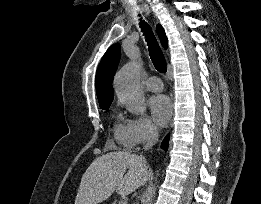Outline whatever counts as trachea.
Segmentation results:
<instances>
[{"label": "trachea", "mask_w": 261, "mask_h": 204, "mask_svg": "<svg viewBox=\"0 0 261 204\" xmlns=\"http://www.w3.org/2000/svg\"><path fill=\"white\" fill-rule=\"evenodd\" d=\"M140 27L142 32H144L148 45L149 55L156 70L160 73H165L166 60L151 27L143 21L140 22Z\"/></svg>", "instance_id": "1"}]
</instances>
